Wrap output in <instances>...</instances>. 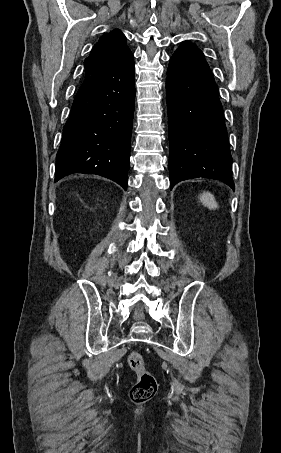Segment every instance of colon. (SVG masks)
<instances>
[{"instance_id":"1","label":"colon","mask_w":281,"mask_h":453,"mask_svg":"<svg viewBox=\"0 0 281 453\" xmlns=\"http://www.w3.org/2000/svg\"><path fill=\"white\" fill-rule=\"evenodd\" d=\"M126 362L131 372L138 378V382L132 387L129 398L134 403L149 401L157 391L155 375L148 369L143 357L138 352H130L126 356Z\"/></svg>"}]
</instances>
